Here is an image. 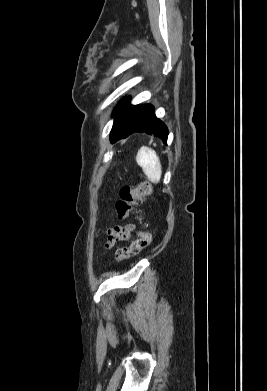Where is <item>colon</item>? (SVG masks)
I'll list each match as a JSON object with an SVG mask.
<instances>
[{
	"instance_id": "obj_1",
	"label": "colon",
	"mask_w": 267,
	"mask_h": 391,
	"mask_svg": "<svg viewBox=\"0 0 267 391\" xmlns=\"http://www.w3.org/2000/svg\"><path fill=\"white\" fill-rule=\"evenodd\" d=\"M152 193V185L149 182H141L136 186L122 187L119 198L115 204L117 217L120 220L128 217L130 212L137 206L141 205L144 198ZM151 242V236L146 231H138L135 239L126 247L120 248L116 257L118 260L130 259L139 254L143 249L148 247Z\"/></svg>"
}]
</instances>
